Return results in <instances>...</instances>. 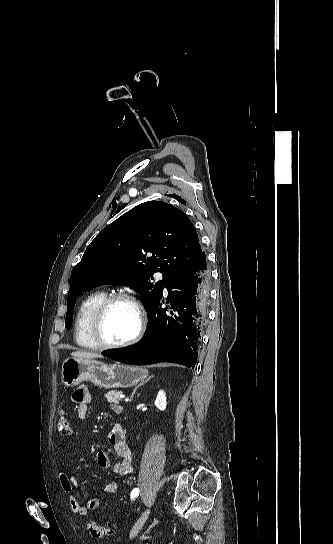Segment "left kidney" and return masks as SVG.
I'll return each mask as SVG.
<instances>
[{
	"mask_svg": "<svg viewBox=\"0 0 333 544\" xmlns=\"http://www.w3.org/2000/svg\"><path fill=\"white\" fill-rule=\"evenodd\" d=\"M155 406L161 410V411H164L166 409V406H167V398H166V394L163 390H160L157 394V397L155 399Z\"/></svg>",
	"mask_w": 333,
	"mask_h": 544,
	"instance_id": "obj_1",
	"label": "left kidney"
}]
</instances>
